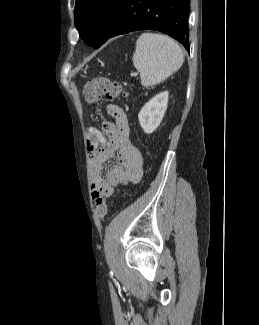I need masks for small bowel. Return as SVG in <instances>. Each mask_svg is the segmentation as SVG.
Wrapping results in <instances>:
<instances>
[{"instance_id": "c3829d8e", "label": "small bowel", "mask_w": 259, "mask_h": 325, "mask_svg": "<svg viewBox=\"0 0 259 325\" xmlns=\"http://www.w3.org/2000/svg\"><path fill=\"white\" fill-rule=\"evenodd\" d=\"M106 112L112 121H103L104 132H94L101 136L100 149H89L95 200L111 196L117 186L138 183L143 174L142 156L130 139L126 113L115 104L107 105ZM115 156L118 165L104 173L103 164Z\"/></svg>"}]
</instances>
